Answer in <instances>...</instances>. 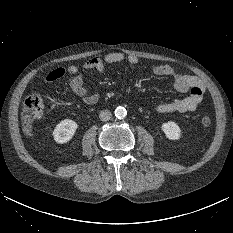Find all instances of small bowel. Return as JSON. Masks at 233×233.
Masks as SVG:
<instances>
[{"mask_svg": "<svg viewBox=\"0 0 233 233\" xmlns=\"http://www.w3.org/2000/svg\"><path fill=\"white\" fill-rule=\"evenodd\" d=\"M123 61L136 65L139 62V59L135 55L112 52L103 57H92L85 63L83 68L85 70H95L103 74L106 72L107 65L117 64ZM152 72L157 76L170 77L172 85L177 91L189 93L188 96L183 98H177L158 104H150L149 107L153 111L157 113H189L197 110L205 92V84L200 78L179 73L169 65L154 66ZM65 73L72 76L70 89L84 104L94 105L99 101V94L90 93L84 86L83 76L77 66L71 65L66 69L57 68L52 70L47 74L46 82L56 81Z\"/></svg>", "mask_w": 233, "mask_h": 233, "instance_id": "1", "label": "small bowel"}]
</instances>
